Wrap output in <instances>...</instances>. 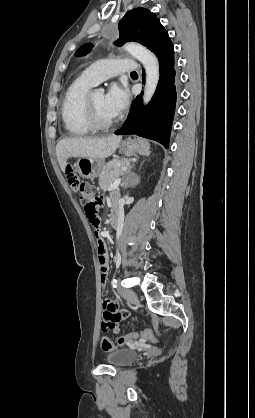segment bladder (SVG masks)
Here are the masks:
<instances>
[{"instance_id":"1","label":"bladder","mask_w":255,"mask_h":418,"mask_svg":"<svg viewBox=\"0 0 255 418\" xmlns=\"http://www.w3.org/2000/svg\"><path fill=\"white\" fill-rule=\"evenodd\" d=\"M138 357V353L129 348H120L110 351L106 355V362L115 367H122L131 364Z\"/></svg>"}]
</instances>
